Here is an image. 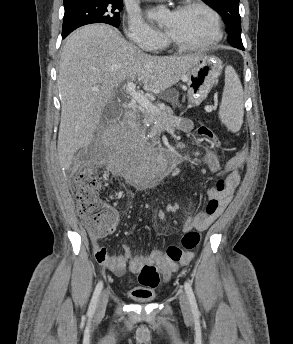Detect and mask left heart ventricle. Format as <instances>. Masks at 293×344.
<instances>
[{
    "mask_svg": "<svg viewBox=\"0 0 293 344\" xmlns=\"http://www.w3.org/2000/svg\"><path fill=\"white\" fill-rule=\"evenodd\" d=\"M163 24L165 32L188 44L207 42L214 34L212 18L201 8L179 13L171 12Z\"/></svg>",
    "mask_w": 293,
    "mask_h": 344,
    "instance_id": "left-heart-ventricle-1",
    "label": "left heart ventricle"
}]
</instances>
